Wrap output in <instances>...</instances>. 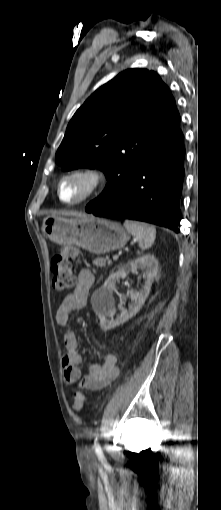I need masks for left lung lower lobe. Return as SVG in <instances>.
Returning <instances> with one entry per match:
<instances>
[{
  "mask_svg": "<svg viewBox=\"0 0 221 510\" xmlns=\"http://www.w3.org/2000/svg\"><path fill=\"white\" fill-rule=\"evenodd\" d=\"M183 134L152 150L121 193L101 207L86 211L100 217L145 221L179 232L184 179Z\"/></svg>",
  "mask_w": 221,
  "mask_h": 510,
  "instance_id": "0a47b994",
  "label": "left lung lower lobe"
}]
</instances>
